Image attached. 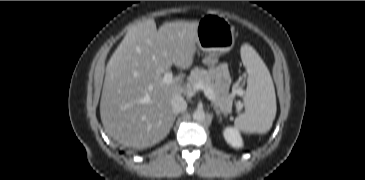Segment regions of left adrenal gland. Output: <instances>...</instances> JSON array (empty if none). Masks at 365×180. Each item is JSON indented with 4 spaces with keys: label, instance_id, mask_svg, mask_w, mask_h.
<instances>
[{
    "label": "left adrenal gland",
    "instance_id": "obj_1",
    "mask_svg": "<svg viewBox=\"0 0 365 180\" xmlns=\"http://www.w3.org/2000/svg\"><path fill=\"white\" fill-rule=\"evenodd\" d=\"M214 110H215V113H216L217 117L219 118V121H221V114H222V112L217 108V106H214ZM223 115H224V117L227 116L226 113H223Z\"/></svg>",
    "mask_w": 365,
    "mask_h": 180
}]
</instances>
